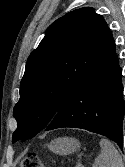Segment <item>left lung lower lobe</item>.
<instances>
[{
  "mask_svg": "<svg viewBox=\"0 0 125 167\" xmlns=\"http://www.w3.org/2000/svg\"><path fill=\"white\" fill-rule=\"evenodd\" d=\"M124 110L122 68L109 31L90 72L45 130L81 128L104 135L122 147Z\"/></svg>",
  "mask_w": 125,
  "mask_h": 167,
  "instance_id": "0a47b994",
  "label": "left lung lower lobe"
}]
</instances>
